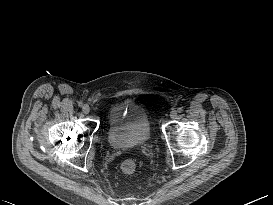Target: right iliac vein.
I'll return each instance as SVG.
<instances>
[{"instance_id":"63e3f726","label":"right iliac vein","mask_w":273,"mask_h":205,"mask_svg":"<svg viewBox=\"0 0 273 205\" xmlns=\"http://www.w3.org/2000/svg\"><path fill=\"white\" fill-rule=\"evenodd\" d=\"M82 111H83L84 114H88L90 112L89 105H87V104L83 105Z\"/></svg>"}]
</instances>
